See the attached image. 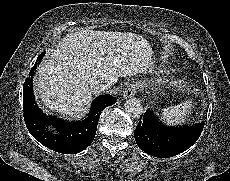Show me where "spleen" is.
<instances>
[{"label":"spleen","instance_id":"3e777b00","mask_svg":"<svg viewBox=\"0 0 230 181\" xmlns=\"http://www.w3.org/2000/svg\"><path fill=\"white\" fill-rule=\"evenodd\" d=\"M192 106V100H187L179 105L165 108L162 112V119L169 125L184 122Z\"/></svg>","mask_w":230,"mask_h":181}]
</instances>
